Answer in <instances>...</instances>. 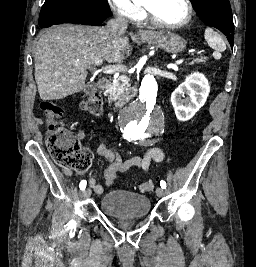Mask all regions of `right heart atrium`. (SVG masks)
<instances>
[{
    "mask_svg": "<svg viewBox=\"0 0 256 267\" xmlns=\"http://www.w3.org/2000/svg\"><path fill=\"white\" fill-rule=\"evenodd\" d=\"M143 15V8L140 4L134 5L130 11L123 15L127 21H135Z\"/></svg>",
    "mask_w": 256,
    "mask_h": 267,
    "instance_id": "d8ad5b80",
    "label": "right heart atrium"
}]
</instances>
